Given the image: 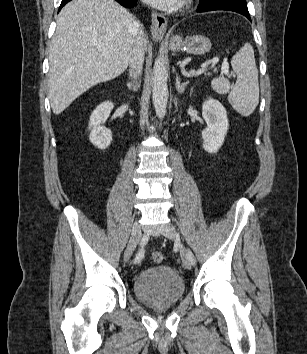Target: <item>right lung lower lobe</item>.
<instances>
[{
	"mask_svg": "<svg viewBox=\"0 0 307 354\" xmlns=\"http://www.w3.org/2000/svg\"><path fill=\"white\" fill-rule=\"evenodd\" d=\"M71 0H62L61 5H60V9ZM117 2H119L122 6L126 7V8H132L136 5V1L137 0H116Z\"/></svg>",
	"mask_w": 307,
	"mask_h": 354,
	"instance_id": "obj_1",
	"label": "right lung lower lobe"
}]
</instances>
